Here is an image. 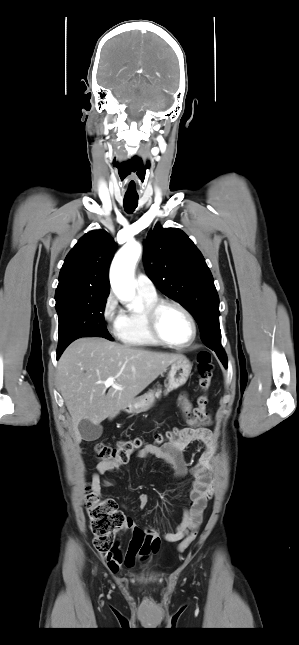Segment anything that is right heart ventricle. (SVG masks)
Masks as SVG:
<instances>
[{
    "label": "right heart ventricle",
    "mask_w": 299,
    "mask_h": 645,
    "mask_svg": "<svg viewBox=\"0 0 299 645\" xmlns=\"http://www.w3.org/2000/svg\"><path fill=\"white\" fill-rule=\"evenodd\" d=\"M139 306L122 313L118 339L126 345L134 347L157 346L160 343L151 335L147 322L146 310L158 300L157 295L138 292Z\"/></svg>",
    "instance_id": "1"
}]
</instances>
